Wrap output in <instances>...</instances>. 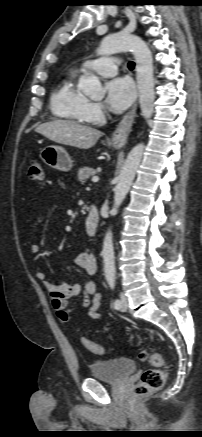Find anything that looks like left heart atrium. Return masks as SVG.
I'll list each match as a JSON object with an SVG mask.
<instances>
[{"instance_id":"obj_1","label":"left heart atrium","mask_w":202,"mask_h":437,"mask_svg":"<svg viewBox=\"0 0 202 437\" xmlns=\"http://www.w3.org/2000/svg\"><path fill=\"white\" fill-rule=\"evenodd\" d=\"M106 103L109 109L120 113L130 106L135 98V88L128 78H115L106 84Z\"/></svg>"}]
</instances>
